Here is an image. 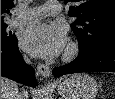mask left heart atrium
I'll return each mask as SVG.
<instances>
[{"label": "left heart atrium", "instance_id": "obj_1", "mask_svg": "<svg viewBox=\"0 0 115 99\" xmlns=\"http://www.w3.org/2000/svg\"><path fill=\"white\" fill-rule=\"evenodd\" d=\"M66 44V32L60 25L35 23L22 36V47L35 56L52 58L59 55Z\"/></svg>", "mask_w": 115, "mask_h": 99}]
</instances>
